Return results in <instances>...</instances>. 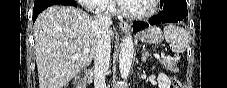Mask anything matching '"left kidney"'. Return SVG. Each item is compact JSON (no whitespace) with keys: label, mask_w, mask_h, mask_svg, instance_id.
<instances>
[{"label":"left kidney","mask_w":227,"mask_h":88,"mask_svg":"<svg viewBox=\"0 0 227 88\" xmlns=\"http://www.w3.org/2000/svg\"><path fill=\"white\" fill-rule=\"evenodd\" d=\"M157 80L159 88H170L171 81L164 73H160Z\"/></svg>","instance_id":"5707ae66"}]
</instances>
